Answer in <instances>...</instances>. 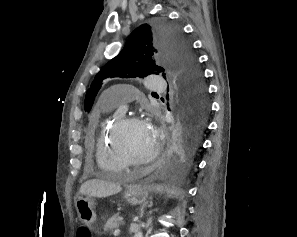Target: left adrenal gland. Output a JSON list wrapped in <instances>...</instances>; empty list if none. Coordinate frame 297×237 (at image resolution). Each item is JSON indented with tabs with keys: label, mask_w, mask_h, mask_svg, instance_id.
I'll use <instances>...</instances> for the list:
<instances>
[{
	"label": "left adrenal gland",
	"mask_w": 297,
	"mask_h": 237,
	"mask_svg": "<svg viewBox=\"0 0 297 237\" xmlns=\"http://www.w3.org/2000/svg\"><path fill=\"white\" fill-rule=\"evenodd\" d=\"M144 207L141 209V216H143V213H144Z\"/></svg>",
	"instance_id": "a2214340"
}]
</instances>
